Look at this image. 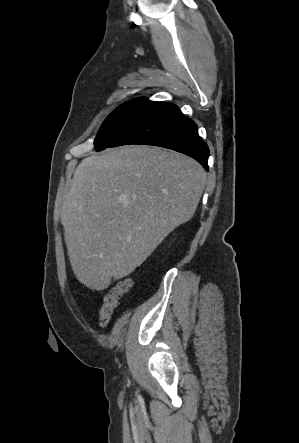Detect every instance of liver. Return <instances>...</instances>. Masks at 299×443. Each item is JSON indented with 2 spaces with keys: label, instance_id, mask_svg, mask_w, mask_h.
<instances>
[{
  "label": "liver",
  "instance_id": "6515ba94",
  "mask_svg": "<svg viewBox=\"0 0 299 443\" xmlns=\"http://www.w3.org/2000/svg\"><path fill=\"white\" fill-rule=\"evenodd\" d=\"M206 180L196 160L158 147L124 146L83 159L61 209L78 281L100 291L131 274L192 218Z\"/></svg>",
  "mask_w": 299,
  "mask_h": 443
}]
</instances>
